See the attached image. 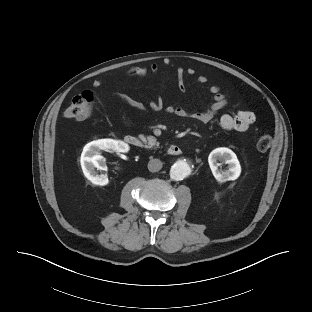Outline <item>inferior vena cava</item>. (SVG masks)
<instances>
[{
  "instance_id": "1",
  "label": "inferior vena cava",
  "mask_w": 312,
  "mask_h": 312,
  "mask_svg": "<svg viewBox=\"0 0 312 312\" xmlns=\"http://www.w3.org/2000/svg\"><path fill=\"white\" fill-rule=\"evenodd\" d=\"M162 168V162L159 159H151L148 162V170L150 172H158Z\"/></svg>"
}]
</instances>
